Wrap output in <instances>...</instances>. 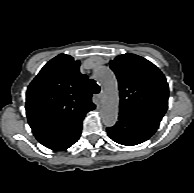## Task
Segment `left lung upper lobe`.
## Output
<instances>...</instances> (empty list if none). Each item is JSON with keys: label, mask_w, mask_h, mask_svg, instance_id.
<instances>
[{"label": "left lung upper lobe", "mask_w": 194, "mask_h": 193, "mask_svg": "<svg viewBox=\"0 0 194 193\" xmlns=\"http://www.w3.org/2000/svg\"><path fill=\"white\" fill-rule=\"evenodd\" d=\"M120 90V114L159 126L167 108L169 88L163 73L150 61L123 54L110 61Z\"/></svg>", "instance_id": "1"}]
</instances>
